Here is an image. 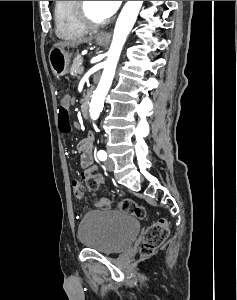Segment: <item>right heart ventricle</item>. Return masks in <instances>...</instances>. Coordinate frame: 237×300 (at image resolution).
I'll return each instance as SVG.
<instances>
[{"mask_svg": "<svg viewBox=\"0 0 237 300\" xmlns=\"http://www.w3.org/2000/svg\"><path fill=\"white\" fill-rule=\"evenodd\" d=\"M75 1H55L54 20L56 33L61 38L83 36L88 28L81 25L74 13Z\"/></svg>", "mask_w": 237, "mask_h": 300, "instance_id": "obj_1", "label": "right heart ventricle"}]
</instances>
